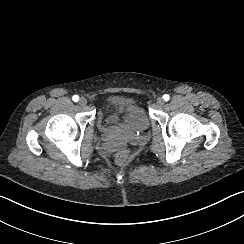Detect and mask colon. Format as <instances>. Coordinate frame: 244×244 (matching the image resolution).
I'll use <instances>...</instances> for the list:
<instances>
[{
	"label": "colon",
	"mask_w": 244,
	"mask_h": 244,
	"mask_svg": "<svg viewBox=\"0 0 244 244\" xmlns=\"http://www.w3.org/2000/svg\"><path fill=\"white\" fill-rule=\"evenodd\" d=\"M128 160V152L125 149H119L116 152L115 161L118 164H124Z\"/></svg>",
	"instance_id": "obj_1"
}]
</instances>
